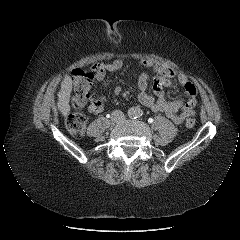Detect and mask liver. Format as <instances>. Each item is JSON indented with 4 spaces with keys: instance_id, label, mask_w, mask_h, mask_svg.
<instances>
[{
    "instance_id": "1",
    "label": "liver",
    "mask_w": 240,
    "mask_h": 240,
    "mask_svg": "<svg viewBox=\"0 0 240 240\" xmlns=\"http://www.w3.org/2000/svg\"><path fill=\"white\" fill-rule=\"evenodd\" d=\"M72 92V80L69 76H65L61 82V89L58 92V110L62 113L63 116H67L70 112V97Z\"/></svg>"
}]
</instances>
